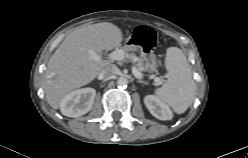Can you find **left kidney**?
Here are the masks:
<instances>
[{
	"label": "left kidney",
	"instance_id": "left-kidney-1",
	"mask_svg": "<svg viewBox=\"0 0 248 158\" xmlns=\"http://www.w3.org/2000/svg\"><path fill=\"white\" fill-rule=\"evenodd\" d=\"M144 103L150 113L159 120H170L173 118L171 109L154 95L144 98Z\"/></svg>",
	"mask_w": 248,
	"mask_h": 158
}]
</instances>
